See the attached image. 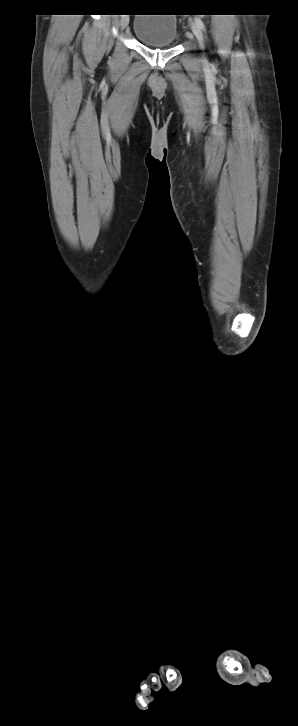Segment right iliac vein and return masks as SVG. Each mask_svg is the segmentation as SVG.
Masks as SVG:
<instances>
[{
	"label": "right iliac vein",
	"instance_id": "obj_1",
	"mask_svg": "<svg viewBox=\"0 0 298 726\" xmlns=\"http://www.w3.org/2000/svg\"><path fill=\"white\" fill-rule=\"evenodd\" d=\"M128 24H129V17L128 16H123L121 18V22H120L121 29H125L128 26Z\"/></svg>",
	"mask_w": 298,
	"mask_h": 726
}]
</instances>
